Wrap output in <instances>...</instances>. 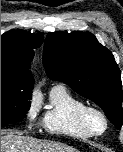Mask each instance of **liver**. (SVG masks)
Masks as SVG:
<instances>
[{"label": "liver", "mask_w": 123, "mask_h": 152, "mask_svg": "<svg viewBox=\"0 0 123 152\" xmlns=\"http://www.w3.org/2000/svg\"><path fill=\"white\" fill-rule=\"evenodd\" d=\"M1 152H78L75 148L36 139L34 137L17 135L14 132L1 133Z\"/></svg>", "instance_id": "6515ba94"}]
</instances>
